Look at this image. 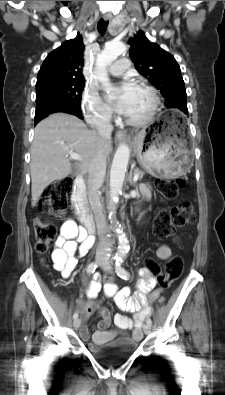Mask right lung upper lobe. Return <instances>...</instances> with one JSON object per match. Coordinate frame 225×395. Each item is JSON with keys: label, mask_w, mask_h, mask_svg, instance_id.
Segmentation results:
<instances>
[{"label": "right lung upper lobe", "mask_w": 225, "mask_h": 395, "mask_svg": "<svg viewBox=\"0 0 225 395\" xmlns=\"http://www.w3.org/2000/svg\"><path fill=\"white\" fill-rule=\"evenodd\" d=\"M84 48L80 34L75 39L65 41L45 59L36 85L52 81L85 80L82 74Z\"/></svg>", "instance_id": "cb5924a9"}]
</instances>
